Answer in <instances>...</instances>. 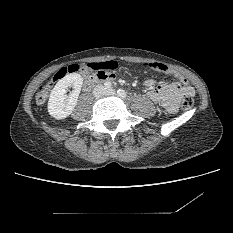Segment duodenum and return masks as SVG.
<instances>
[{
    "label": "duodenum",
    "instance_id": "obj_1",
    "mask_svg": "<svg viewBox=\"0 0 233 233\" xmlns=\"http://www.w3.org/2000/svg\"><path fill=\"white\" fill-rule=\"evenodd\" d=\"M107 81H110L109 76H107L103 72H98L97 71L94 74H91L86 78L85 84H86V86H92V85H95L97 83L107 82Z\"/></svg>",
    "mask_w": 233,
    "mask_h": 233
}]
</instances>
